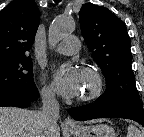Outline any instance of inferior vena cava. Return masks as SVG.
I'll return each instance as SVG.
<instances>
[{
	"label": "inferior vena cava",
	"mask_w": 144,
	"mask_h": 137,
	"mask_svg": "<svg viewBox=\"0 0 144 137\" xmlns=\"http://www.w3.org/2000/svg\"><path fill=\"white\" fill-rule=\"evenodd\" d=\"M42 102L41 121L44 137H52L51 133L57 127L59 118V103L55 98V93L51 91L42 94Z\"/></svg>",
	"instance_id": "1"
}]
</instances>
